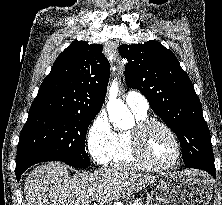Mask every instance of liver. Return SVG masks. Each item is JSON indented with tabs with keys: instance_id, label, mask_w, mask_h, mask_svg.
I'll use <instances>...</instances> for the list:
<instances>
[{
	"instance_id": "1",
	"label": "liver",
	"mask_w": 222,
	"mask_h": 205,
	"mask_svg": "<svg viewBox=\"0 0 222 205\" xmlns=\"http://www.w3.org/2000/svg\"><path fill=\"white\" fill-rule=\"evenodd\" d=\"M153 176L115 165L69 176L68 166L48 162L34 168L26 178V205H89L130 196L154 183Z\"/></svg>"
}]
</instances>
